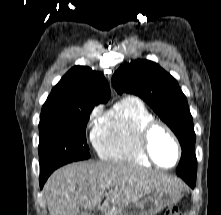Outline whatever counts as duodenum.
<instances>
[{
	"label": "duodenum",
	"instance_id": "duodenum-1",
	"mask_svg": "<svg viewBox=\"0 0 221 215\" xmlns=\"http://www.w3.org/2000/svg\"><path fill=\"white\" fill-rule=\"evenodd\" d=\"M107 211V206L105 205H100L96 212L93 215H105V212Z\"/></svg>",
	"mask_w": 221,
	"mask_h": 215
}]
</instances>
